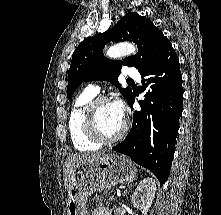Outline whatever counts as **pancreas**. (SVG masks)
<instances>
[{"instance_id":"1","label":"pancreas","mask_w":221,"mask_h":215,"mask_svg":"<svg viewBox=\"0 0 221 215\" xmlns=\"http://www.w3.org/2000/svg\"><path fill=\"white\" fill-rule=\"evenodd\" d=\"M111 193L110 192H106L103 194H96L94 201L96 203V205L98 206H103V205H110V197H111Z\"/></svg>"}]
</instances>
